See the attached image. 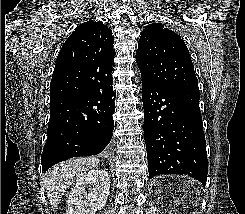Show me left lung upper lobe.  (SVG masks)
I'll return each instance as SVG.
<instances>
[{"label": "left lung upper lobe", "instance_id": "5c2ea615", "mask_svg": "<svg viewBox=\"0 0 245 214\" xmlns=\"http://www.w3.org/2000/svg\"><path fill=\"white\" fill-rule=\"evenodd\" d=\"M138 43L136 63L142 78L168 87L199 90L189 50L178 34L153 23L145 27Z\"/></svg>", "mask_w": 245, "mask_h": 214}]
</instances>
